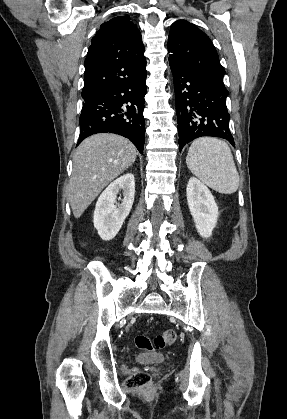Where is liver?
Instances as JSON below:
<instances>
[{"instance_id":"obj_1","label":"liver","mask_w":287,"mask_h":419,"mask_svg":"<svg viewBox=\"0 0 287 419\" xmlns=\"http://www.w3.org/2000/svg\"><path fill=\"white\" fill-rule=\"evenodd\" d=\"M135 146L122 136L100 133L86 138L73 155L68 199L79 218L100 192L136 160Z\"/></svg>"}]
</instances>
